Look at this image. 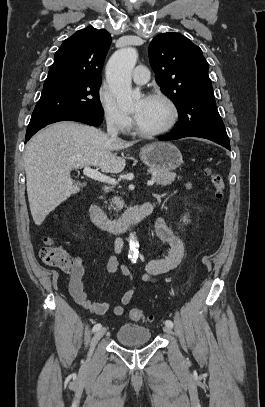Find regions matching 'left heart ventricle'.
Here are the masks:
<instances>
[{
  "label": "left heart ventricle",
  "instance_id": "b2bd125f",
  "mask_svg": "<svg viewBox=\"0 0 265 407\" xmlns=\"http://www.w3.org/2000/svg\"><path fill=\"white\" fill-rule=\"evenodd\" d=\"M132 114L137 126L146 131L158 130L170 119L169 107L160 100L140 99L134 104Z\"/></svg>",
  "mask_w": 265,
  "mask_h": 407
}]
</instances>
